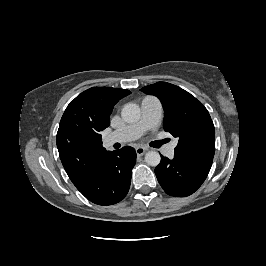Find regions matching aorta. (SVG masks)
<instances>
[{"instance_id":"obj_1","label":"aorta","mask_w":266,"mask_h":266,"mask_svg":"<svg viewBox=\"0 0 266 266\" xmlns=\"http://www.w3.org/2000/svg\"><path fill=\"white\" fill-rule=\"evenodd\" d=\"M122 119L127 123H135L140 119L141 111L137 104L128 103L121 111ZM160 154L156 151H149L145 154V162L150 166H157L160 163Z\"/></svg>"}]
</instances>
